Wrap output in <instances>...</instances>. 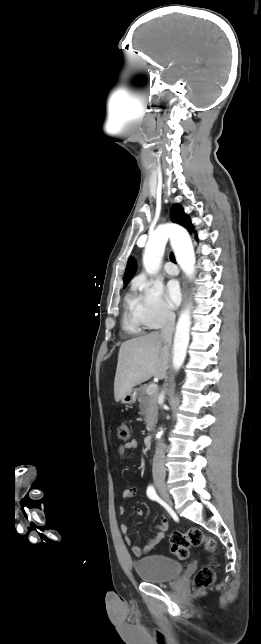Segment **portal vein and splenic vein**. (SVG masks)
Segmentation results:
<instances>
[{
  "instance_id": "obj_1",
  "label": "portal vein and splenic vein",
  "mask_w": 261,
  "mask_h": 644,
  "mask_svg": "<svg viewBox=\"0 0 261 644\" xmlns=\"http://www.w3.org/2000/svg\"><path fill=\"white\" fill-rule=\"evenodd\" d=\"M157 390V385L156 384H150L147 388V393L148 394H153Z\"/></svg>"
}]
</instances>
